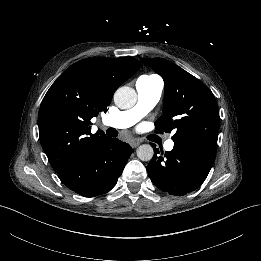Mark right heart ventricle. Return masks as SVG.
Returning a JSON list of instances; mask_svg holds the SVG:
<instances>
[{"instance_id":"1","label":"right heart ventricle","mask_w":261,"mask_h":261,"mask_svg":"<svg viewBox=\"0 0 261 261\" xmlns=\"http://www.w3.org/2000/svg\"><path fill=\"white\" fill-rule=\"evenodd\" d=\"M155 80H161L162 81V79L158 75L152 74V73H147V74H142L138 78L137 82H139V81H147L148 82V81H155Z\"/></svg>"}]
</instances>
